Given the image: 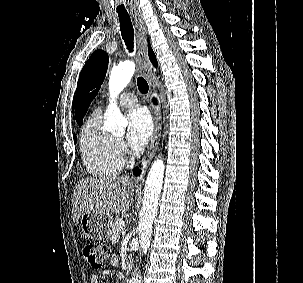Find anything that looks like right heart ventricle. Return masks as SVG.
I'll list each match as a JSON object with an SVG mask.
<instances>
[{"instance_id": "right-heart-ventricle-1", "label": "right heart ventricle", "mask_w": 303, "mask_h": 283, "mask_svg": "<svg viewBox=\"0 0 303 283\" xmlns=\"http://www.w3.org/2000/svg\"><path fill=\"white\" fill-rule=\"evenodd\" d=\"M80 150L84 166L93 177H114L123 169L117 141L103 129L99 110L89 116L81 130Z\"/></svg>"}]
</instances>
